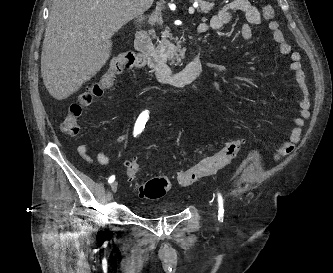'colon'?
I'll return each mask as SVG.
<instances>
[{
	"mask_svg": "<svg viewBox=\"0 0 333 273\" xmlns=\"http://www.w3.org/2000/svg\"><path fill=\"white\" fill-rule=\"evenodd\" d=\"M262 13L265 20H271L275 15L271 6H265ZM143 65V57L134 51H127L114 57L107 71L68 106L61 125L63 132L72 137L77 136L80 132L79 121L83 109L90 106L95 99L102 97L113 86L121 73ZM242 145L243 140L240 138L229 140L215 154L200 160L188 170L179 171L177 173L178 183L181 186H189L199 181L203 176L215 173L237 156ZM125 167L130 186L137 190L141 197L158 199L163 197L170 188L171 183L167 176H156L145 181L141 180L142 168L136 161H128Z\"/></svg>",
	"mask_w": 333,
	"mask_h": 273,
	"instance_id": "5ec220e1",
	"label": "colon"
}]
</instances>
